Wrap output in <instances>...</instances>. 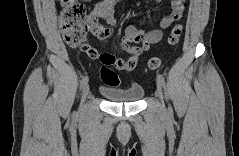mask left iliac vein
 <instances>
[{
	"label": "left iliac vein",
	"instance_id": "4c4485c4",
	"mask_svg": "<svg viewBox=\"0 0 239 156\" xmlns=\"http://www.w3.org/2000/svg\"><path fill=\"white\" fill-rule=\"evenodd\" d=\"M156 95H157V97H159V99L161 100V102L164 103V101H163V91H162L161 84H160L159 82H157Z\"/></svg>",
	"mask_w": 239,
	"mask_h": 156
}]
</instances>
